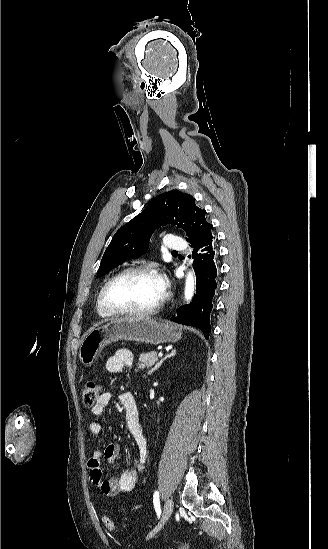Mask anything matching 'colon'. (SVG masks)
I'll list each match as a JSON object with an SVG mask.
<instances>
[{
    "label": "colon",
    "instance_id": "5ec220e1",
    "mask_svg": "<svg viewBox=\"0 0 328 549\" xmlns=\"http://www.w3.org/2000/svg\"><path fill=\"white\" fill-rule=\"evenodd\" d=\"M101 395V387L95 381H88L83 387V403L86 407L94 406ZM105 528L113 532L116 530L114 521L108 517L103 519Z\"/></svg>",
    "mask_w": 328,
    "mask_h": 549
}]
</instances>
